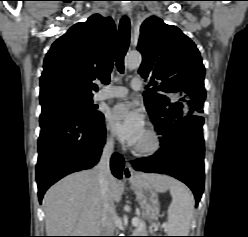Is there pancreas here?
Returning a JSON list of instances; mask_svg holds the SVG:
<instances>
[{"label":"pancreas","instance_id":"cf45deb5","mask_svg":"<svg viewBox=\"0 0 248 237\" xmlns=\"http://www.w3.org/2000/svg\"><path fill=\"white\" fill-rule=\"evenodd\" d=\"M154 231L155 230H150L151 233H153ZM134 233H136L137 235H140V236H146L147 235L146 226H145L143 221H141L139 226H137V228L135 229Z\"/></svg>","mask_w":248,"mask_h":237}]
</instances>
